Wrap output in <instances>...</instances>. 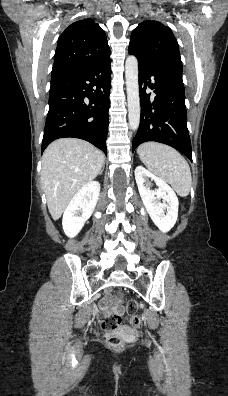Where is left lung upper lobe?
<instances>
[{
    "label": "left lung upper lobe",
    "mask_w": 228,
    "mask_h": 396,
    "mask_svg": "<svg viewBox=\"0 0 228 396\" xmlns=\"http://www.w3.org/2000/svg\"><path fill=\"white\" fill-rule=\"evenodd\" d=\"M128 52L143 64L170 68L182 73L177 40L171 29L158 21H144L133 30Z\"/></svg>",
    "instance_id": "5c2ea615"
}]
</instances>
